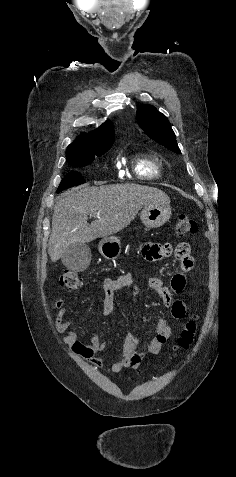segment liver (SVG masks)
I'll use <instances>...</instances> for the list:
<instances>
[{
  "label": "liver",
  "mask_w": 236,
  "mask_h": 477,
  "mask_svg": "<svg viewBox=\"0 0 236 477\" xmlns=\"http://www.w3.org/2000/svg\"><path fill=\"white\" fill-rule=\"evenodd\" d=\"M152 203H170L163 191L138 184L80 186L58 198L52 217L48 253L58 261L75 242L87 243L127 227L138 211ZM88 215L96 219L89 224Z\"/></svg>",
  "instance_id": "1"
}]
</instances>
